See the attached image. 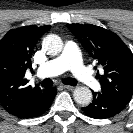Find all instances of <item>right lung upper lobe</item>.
<instances>
[{"mask_svg":"<svg viewBox=\"0 0 133 133\" xmlns=\"http://www.w3.org/2000/svg\"><path fill=\"white\" fill-rule=\"evenodd\" d=\"M49 28L31 25L13 29L0 41V104L12 115L33 111L47 90L28 86L25 73L32 70L33 49Z\"/></svg>","mask_w":133,"mask_h":133,"instance_id":"right-lung-upper-lobe-1","label":"right lung upper lobe"}]
</instances>
